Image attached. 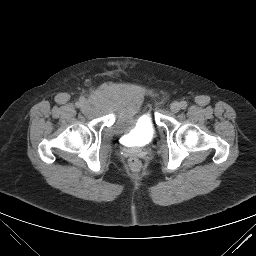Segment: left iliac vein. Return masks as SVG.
Here are the masks:
<instances>
[{
	"label": "left iliac vein",
	"instance_id": "left-iliac-vein-1",
	"mask_svg": "<svg viewBox=\"0 0 256 256\" xmlns=\"http://www.w3.org/2000/svg\"><path fill=\"white\" fill-rule=\"evenodd\" d=\"M180 108H181V106L178 102H173L170 106L171 111L174 113L179 112Z\"/></svg>",
	"mask_w": 256,
	"mask_h": 256
}]
</instances>
